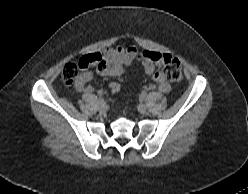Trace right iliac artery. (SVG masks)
Here are the masks:
<instances>
[{
    "instance_id": "obj_1",
    "label": "right iliac artery",
    "mask_w": 248,
    "mask_h": 194,
    "mask_svg": "<svg viewBox=\"0 0 248 194\" xmlns=\"http://www.w3.org/2000/svg\"><path fill=\"white\" fill-rule=\"evenodd\" d=\"M98 101H104L102 98H99Z\"/></svg>"
}]
</instances>
